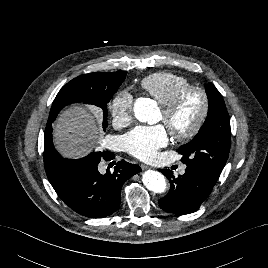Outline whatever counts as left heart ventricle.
Segmentation results:
<instances>
[{
  "label": "left heart ventricle",
  "mask_w": 268,
  "mask_h": 268,
  "mask_svg": "<svg viewBox=\"0 0 268 268\" xmlns=\"http://www.w3.org/2000/svg\"><path fill=\"white\" fill-rule=\"evenodd\" d=\"M201 97L192 92L187 94L174 115L165 121L162 111H160L158 121L163 122L169 131L181 133L188 130L197 119L201 111Z\"/></svg>",
  "instance_id": "1"
}]
</instances>
